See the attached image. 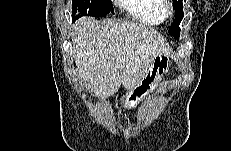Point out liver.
Listing matches in <instances>:
<instances>
[{
  "instance_id": "6515ba94",
  "label": "liver",
  "mask_w": 231,
  "mask_h": 151,
  "mask_svg": "<svg viewBox=\"0 0 231 151\" xmlns=\"http://www.w3.org/2000/svg\"><path fill=\"white\" fill-rule=\"evenodd\" d=\"M71 33L79 76L96 94L109 97L121 84L130 91L145 76L154 58L169 53L153 28L135 22L82 17Z\"/></svg>"
}]
</instances>
